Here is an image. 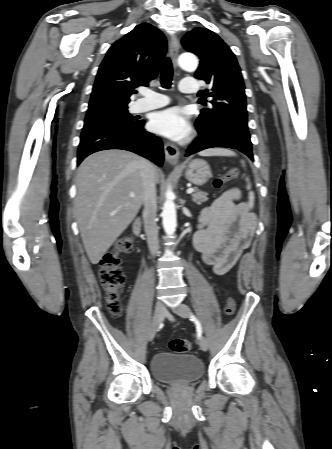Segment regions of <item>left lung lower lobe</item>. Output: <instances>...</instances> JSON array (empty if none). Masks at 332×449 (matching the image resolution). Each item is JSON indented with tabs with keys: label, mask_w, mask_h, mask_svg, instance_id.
<instances>
[{
	"label": "left lung lower lobe",
	"mask_w": 332,
	"mask_h": 449,
	"mask_svg": "<svg viewBox=\"0 0 332 449\" xmlns=\"http://www.w3.org/2000/svg\"><path fill=\"white\" fill-rule=\"evenodd\" d=\"M199 136L187 149L186 156H190L204 149L226 147L237 149L253 160L252 143L247 122L227 121L204 131L197 127Z\"/></svg>",
	"instance_id": "left-lung-lower-lobe-1"
}]
</instances>
